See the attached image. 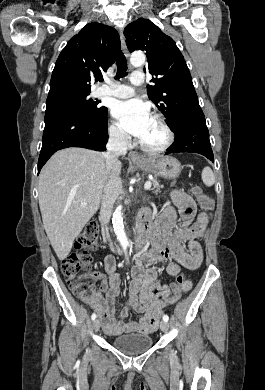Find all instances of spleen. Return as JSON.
Wrapping results in <instances>:
<instances>
[{
	"mask_svg": "<svg viewBox=\"0 0 265 390\" xmlns=\"http://www.w3.org/2000/svg\"><path fill=\"white\" fill-rule=\"evenodd\" d=\"M201 177H202V180L204 182V184L208 187L212 186L214 183H215V176H214V173L213 171L211 170L210 167H205L203 170H202V174H201Z\"/></svg>",
	"mask_w": 265,
	"mask_h": 390,
	"instance_id": "3e777b00",
	"label": "spleen"
}]
</instances>
